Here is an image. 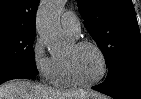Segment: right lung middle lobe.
I'll list each match as a JSON object with an SVG mask.
<instances>
[{"label": "right lung middle lobe", "mask_w": 141, "mask_h": 99, "mask_svg": "<svg viewBox=\"0 0 141 99\" xmlns=\"http://www.w3.org/2000/svg\"><path fill=\"white\" fill-rule=\"evenodd\" d=\"M34 29L0 28V70H36L33 52Z\"/></svg>", "instance_id": "right-lung-middle-lobe-1"}]
</instances>
